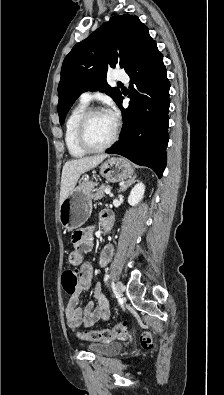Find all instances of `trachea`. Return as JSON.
<instances>
[{
	"mask_svg": "<svg viewBox=\"0 0 224 395\" xmlns=\"http://www.w3.org/2000/svg\"><path fill=\"white\" fill-rule=\"evenodd\" d=\"M119 85H123L122 83H118Z\"/></svg>",
	"mask_w": 224,
	"mask_h": 395,
	"instance_id": "3493384b",
	"label": "trachea"
}]
</instances>
